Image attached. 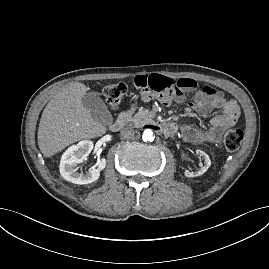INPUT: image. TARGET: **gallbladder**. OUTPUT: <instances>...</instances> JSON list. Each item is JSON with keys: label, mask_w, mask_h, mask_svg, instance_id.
I'll return each instance as SVG.
<instances>
[{"label": "gallbladder", "mask_w": 269, "mask_h": 269, "mask_svg": "<svg viewBox=\"0 0 269 269\" xmlns=\"http://www.w3.org/2000/svg\"><path fill=\"white\" fill-rule=\"evenodd\" d=\"M83 106L90 112L91 117L103 124L111 125L113 122L112 115L107 109L104 101L94 92L86 93L82 98Z\"/></svg>", "instance_id": "obj_1"}]
</instances>
